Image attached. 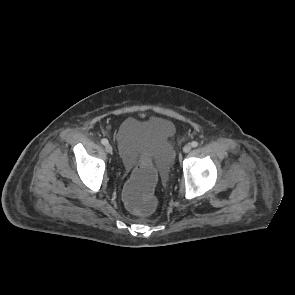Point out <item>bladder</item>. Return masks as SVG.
Instances as JSON below:
<instances>
[{
  "label": "bladder",
  "instance_id": "bladder-1",
  "mask_svg": "<svg viewBox=\"0 0 295 295\" xmlns=\"http://www.w3.org/2000/svg\"><path fill=\"white\" fill-rule=\"evenodd\" d=\"M174 134L171 121L158 117H130L119 126L116 137L121 148L118 160L122 168H133L139 160L157 163L158 175L168 177L173 157L170 138ZM129 156V157H127Z\"/></svg>",
  "mask_w": 295,
  "mask_h": 295
}]
</instances>
